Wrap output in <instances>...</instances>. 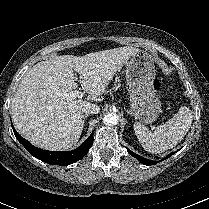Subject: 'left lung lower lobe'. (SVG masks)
<instances>
[{"instance_id":"obj_1","label":"left lung lower lobe","mask_w":209,"mask_h":209,"mask_svg":"<svg viewBox=\"0 0 209 209\" xmlns=\"http://www.w3.org/2000/svg\"><path fill=\"white\" fill-rule=\"evenodd\" d=\"M128 152L130 153V155H132L133 157H135L136 159H138L142 164L144 165H154V164H157L159 161H152V160H148V159H145L137 154H135L134 152H132L131 150L127 149ZM177 152V151H176ZM173 154H175V152L169 154L167 157L163 158L161 161L165 160V159H168L169 157H171Z\"/></svg>"}]
</instances>
